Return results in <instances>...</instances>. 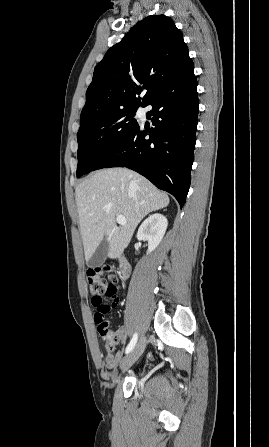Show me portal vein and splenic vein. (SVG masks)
I'll list each match as a JSON object with an SVG mask.
<instances>
[{
	"label": "portal vein and splenic vein",
	"instance_id": "portal-vein-and-splenic-vein-1",
	"mask_svg": "<svg viewBox=\"0 0 269 447\" xmlns=\"http://www.w3.org/2000/svg\"><path fill=\"white\" fill-rule=\"evenodd\" d=\"M116 222H117V224H127L124 216H117Z\"/></svg>",
	"mask_w": 269,
	"mask_h": 447
}]
</instances>
